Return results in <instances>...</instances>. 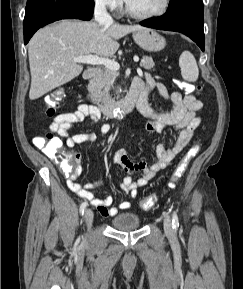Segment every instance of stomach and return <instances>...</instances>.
<instances>
[{
	"label": "stomach",
	"instance_id": "1",
	"mask_svg": "<svg viewBox=\"0 0 243 289\" xmlns=\"http://www.w3.org/2000/svg\"><path fill=\"white\" fill-rule=\"evenodd\" d=\"M133 39L144 50L156 52L162 50L166 41L163 36L151 29H142L133 33Z\"/></svg>",
	"mask_w": 243,
	"mask_h": 289
}]
</instances>
